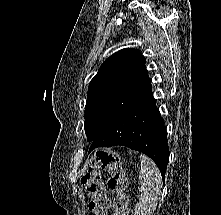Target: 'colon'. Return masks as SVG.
I'll list each match as a JSON object with an SVG mask.
<instances>
[{
	"instance_id": "colon-1",
	"label": "colon",
	"mask_w": 221,
	"mask_h": 215,
	"mask_svg": "<svg viewBox=\"0 0 221 215\" xmlns=\"http://www.w3.org/2000/svg\"><path fill=\"white\" fill-rule=\"evenodd\" d=\"M106 169L111 173L108 186L116 194L114 199L105 192L102 173ZM81 182L90 199L89 210L94 215H107L110 209H114L116 215H129L126 179L118 154L108 150L95 151L81 177Z\"/></svg>"
}]
</instances>
